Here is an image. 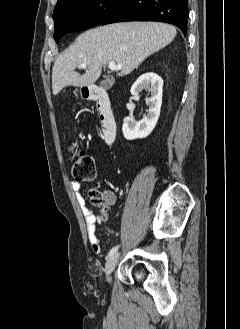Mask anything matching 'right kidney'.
<instances>
[{"label": "right kidney", "mask_w": 240, "mask_h": 329, "mask_svg": "<svg viewBox=\"0 0 240 329\" xmlns=\"http://www.w3.org/2000/svg\"><path fill=\"white\" fill-rule=\"evenodd\" d=\"M151 93L147 98L150 107L147 115L137 122L133 117H126L123 122L122 132L127 140L147 137L155 128L160 116L162 104L163 80L155 73L149 72L141 75L131 87V94L138 96L141 91Z\"/></svg>", "instance_id": "ca27d5eb"}]
</instances>
